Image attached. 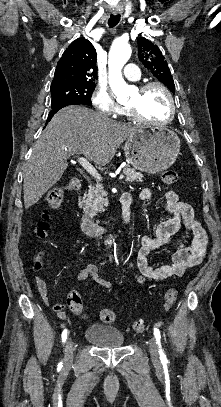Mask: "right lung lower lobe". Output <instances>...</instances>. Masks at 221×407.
<instances>
[{
	"mask_svg": "<svg viewBox=\"0 0 221 407\" xmlns=\"http://www.w3.org/2000/svg\"><path fill=\"white\" fill-rule=\"evenodd\" d=\"M68 105H80L79 103H74V102H65V103H61L55 106H52V110L50 111L49 115H48V120H51V118L53 117V115L59 111L61 108L68 106Z\"/></svg>",
	"mask_w": 221,
	"mask_h": 407,
	"instance_id": "1",
	"label": "right lung lower lobe"
}]
</instances>
